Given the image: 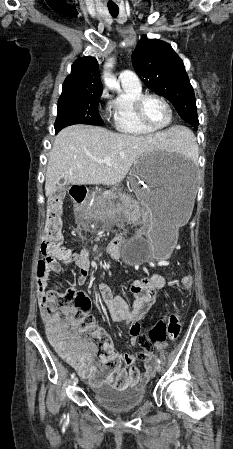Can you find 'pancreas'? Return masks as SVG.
<instances>
[{
    "label": "pancreas",
    "mask_w": 233,
    "mask_h": 449,
    "mask_svg": "<svg viewBox=\"0 0 233 449\" xmlns=\"http://www.w3.org/2000/svg\"><path fill=\"white\" fill-rule=\"evenodd\" d=\"M122 198H128L126 195H121ZM117 198L115 195H101L98 196L90 207L89 218H113L120 210L116 209L111 199ZM132 220L137 223H146L148 213L140 208L134 209L131 214Z\"/></svg>",
    "instance_id": "1"
}]
</instances>
